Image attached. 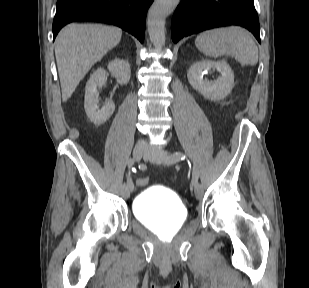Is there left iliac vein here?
I'll return each mask as SVG.
<instances>
[{"instance_id": "1", "label": "left iliac vein", "mask_w": 309, "mask_h": 288, "mask_svg": "<svg viewBox=\"0 0 309 288\" xmlns=\"http://www.w3.org/2000/svg\"><path fill=\"white\" fill-rule=\"evenodd\" d=\"M144 157L147 158L152 163L167 164L169 162L170 156L168 152L164 150H157V151L147 150ZM194 191H195V196L197 198H201L204 193L202 185L198 182L194 186Z\"/></svg>"}]
</instances>
